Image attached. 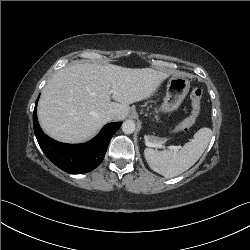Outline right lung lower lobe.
<instances>
[{"instance_id":"right-lung-lower-lobe-1","label":"right lung lower lobe","mask_w":250,"mask_h":250,"mask_svg":"<svg viewBox=\"0 0 250 250\" xmlns=\"http://www.w3.org/2000/svg\"><path fill=\"white\" fill-rule=\"evenodd\" d=\"M36 105L33 113L34 132L46 157L57 167L70 174H83L94 170L104 159L108 144L122 122L105 125L100 133L84 144H64L44 134L37 120Z\"/></svg>"}]
</instances>
